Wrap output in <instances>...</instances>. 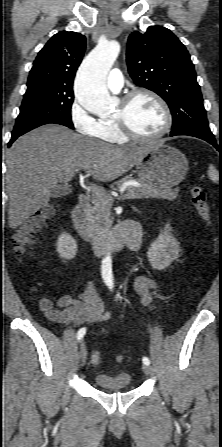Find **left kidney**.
<instances>
[{"mask_svg": "<svg viewBox=\"0 0 222 447\" xmlns=\"http://www.w3.org/2000/svg\"><path fill=\"white\" fill-rule=\"evenodd\" d=\"M168 226L160 232L148 249L147 257L151 266L156 270L166 269L180 253L179 242L170 233Z\"/></svg>", "mask_w": 222, "mask_h": 447, "instance_id": "obj_1", "label": "left kidney"}]
</instances>
